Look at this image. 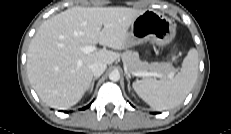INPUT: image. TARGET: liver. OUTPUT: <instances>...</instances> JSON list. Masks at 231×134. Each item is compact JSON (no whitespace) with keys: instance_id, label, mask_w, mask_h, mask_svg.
Returning a JSON list of instances; mask_svg holds the SVG:
<instances>
[{"instance_id":"obj_1","label":"liver","mask_w":231,"mask_h":134,"mask_svg":"<svg viewBox=\"0 0 231 134\" xmlns=\"http://www.w3.org/2000/svg\"><path fill=\"white\" fill-rule=\"evenodd\" d=\"M143 10L126 7H73L44 21L27 52L29 81L47 105L68 109L89 89L95 62L112 64L119 53L82 47L100 44L114 50L127 47L128 29ZM103 26V27H102Z\"/></svg>"}]
</instances>
